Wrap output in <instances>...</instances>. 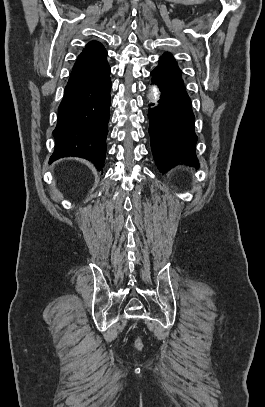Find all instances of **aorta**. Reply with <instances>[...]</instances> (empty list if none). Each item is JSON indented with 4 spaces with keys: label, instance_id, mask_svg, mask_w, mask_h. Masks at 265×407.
I'll return each instance as SVG.
<instances>
[{
    "label": "aorta",
    "instance_id": "762f6f07",
    "mask_svg": "<svg viewBox=\"0 0 265 407\" xmlns=\"http://www.w3.org/2000/svg\"><path fill=\"white\" fill-rule=\"evenodd\" d=\"M148 99L152 103L157 104V101L159 99V91L156 86H150L149 93H148Z\"/></svg>",
    "mask_w": 265,
    "mask_h": 407
}]
</instances>
